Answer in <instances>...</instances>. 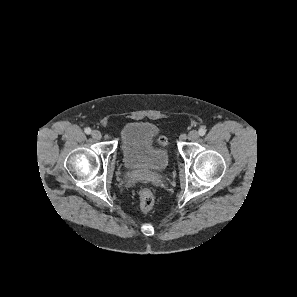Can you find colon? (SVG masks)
<instances>
[{"label": "colon", "mask_w": 297, "mask_h": 297, "mask_svg": "<svg viewBox=\"0 0 297 297\" xmlns=\"http://www.w3.org/2000/svg\"><path fill=\"white\" fill-rule=\"evenodd\" d=\"M159 146H166L167 140L160 137L157 140ZM154 205V195L148 188H143L139 193V207L142 213L147 214L151 211Z\"/></svg>", "instance_id": "colon-1"}]
</instances>
